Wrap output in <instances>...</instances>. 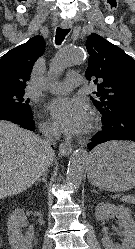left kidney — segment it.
<instances>
[{
	"label": "left kidney",
	"instance_id": "1",
	"mask_svg": "<svg viewBox=\"0 0 135 249\" xmlns=\"http://www.w3.org/2000/svg\"><path fill=\"white\" fill-rule=\"evenodd\" d=\"M96 219L105 221L110 216H116L119 225L124 228V239L122 244H114L107 234L102 238V244L105 249H134L135 248V221L132 218L128 208L119 205L101 202L96 206Z\"/></svg>",
	"mask_w": 135,
	"mask_h": 249
}]
</instances>
